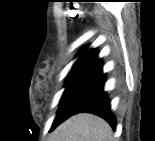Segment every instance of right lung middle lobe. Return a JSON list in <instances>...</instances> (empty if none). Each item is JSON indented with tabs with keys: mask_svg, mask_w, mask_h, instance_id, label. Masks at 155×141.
Here are the masks:
<instances>
[{
	"mask_svg": "<svg viewBox=\"0 0 155 141\" xmlns=\"http://www.w3.org/2000/svg\"><path fill=\"white\" fill-rule=\"evenodd\" d=\"M94 72H70L66 78V89L60 101V107L52 126L57 125L63 116V108L72 96L94 75Z\"/></svg>",
	"mask_w": 155,
	"mask_h": 141,
	"instance_id": "1",
	"label": "right lung middle lobe"
}]
</instances>
